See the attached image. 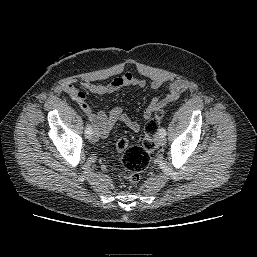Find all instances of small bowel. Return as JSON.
<instances>
[{
	"instance_id": "c3829d8e",
	"label": "small bowel",
	"mask_w": 257,
	"mask_h": 257,
	"mask_svg": "<svg viewBox=\"0 0 257 257\" xmlns=\"http://www.w3.org/2000/svg\"><path fill=\"white\" fill-rule=\"evenodd\" d=\"M166 80L162 77L156 78L151 82V88L158 89ZM77 85L88 91L89 93L96 95H105L115 93L128 87L143 88L146 85V81L141 78H137L129 72L123 73L116 77L108 84H96L88 80H81L78 82L69 81L63 85V90L75 101L83 113L87 116L94 128V133L98 138L106 137L111 129L117 123L126 125L130 130L138 132L140 130V124L130 118L123 109L116 106L108 111H100L94 113L90 106L86 102V96L84 92L77 88ZM188 89V83L184 80L173 81L168 90L152 99L143 112V118L149 119L156 115V113L162 108L174 101H176L186 90Z\"/></svg>"
}]
</instances>
